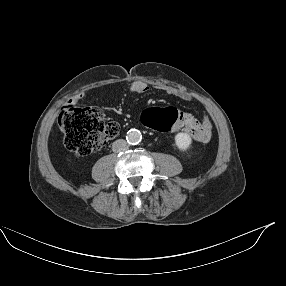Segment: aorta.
I'll list each match as a JSON object with an SVG mask.
<instances>
[{
  "instance_id": "762f6f07",
  "label": "aorta",
  "mask_w": 286,
  "mask_h": 286,
  "mask_svg": "<svg viewBox=\"0 0 286 286\" xmlns=\"http://www.w3.org/2000/svg\"><path fill=\"white\" fill-rule=\"evenodd\" d=\"M127 142L131 145H137L142 140V134L137 129H131L128 131L126 136Z\"/></svg>"
}]
</instances>
